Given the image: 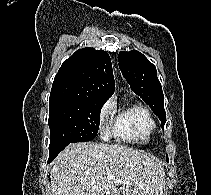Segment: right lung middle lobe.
<instances>
[{
    "instance_id": "1",
    "label": "right lung middle lobe",
    "mask_w": 211,
    "mask_h": 195,
    "mask_svg": "<svg viewBox=\"0 0 211 195\" xmlns=\"http://www.w3.org/2000/svg\"><path fill=\"white\" fill-rule=\"evenodd\" d=\"M105 101L67 96H50L49 152L74 142L94 139L99 128L100 111Z\"/></svg>"
}]
</instances>
